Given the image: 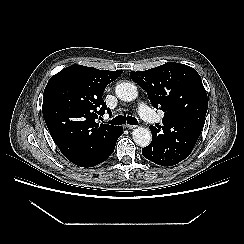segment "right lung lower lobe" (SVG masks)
Segmentation results:
<instances>
[{
    "label": "right lung lower lobe",
    "mask_w": 244,
    "mask_h": 244,
    "mask_svg": "<svg viewBox=\"0 0 244 244\" xmlns=\"http://www.w3.org/2000/svg\"><path fill=\"white\" fill-rule=\"evenodd\" d=\"M122 131H123V128L121 126H119V128L115 131L111 142L107 145V147L99 155H97L93 158H89V159L77 160V161H74L73 163L75 165L81 166V167H93V166L100 164L101 162H104L113 153L117 139L122 135Z\"/></svg>",
    "instance_id": "98d812e1"
}]
</instances>
